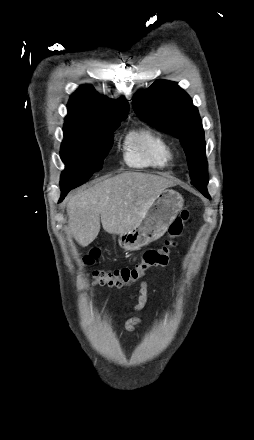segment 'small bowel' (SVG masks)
Wrapping results in <instances>:
<instances>
[{
	"instance_id": "1",
	"label": "small bowel",
	"mask_w": 254,
	"mask_h": 440,
	"mask_svg": "<svg viewBox=\"0 0 254 440\" xmlns=\"http://www.w3.org/2000/svg\"><path fill=\"white\" fill-rule=\"evenodd\" d=\"M148 303V288L145 281L141 282L137 303L134 305V311H141ZM140 323L138 317L129 318L126 323V329L133 330Z\"/></svg>"
}]
</instances>
